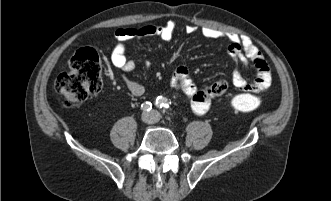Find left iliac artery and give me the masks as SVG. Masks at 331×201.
Listing matches in <instances>:
<instances>
[{
	"mask_svg": "<svg viewBox=\"0 0 331 201\" xmlns=\"http://www.w3.org/2000/svg\"><path fill=\"white\" fill-rule=\"evenodd\" d=\"M155 104L157 107L162 108L164 110L169 108L168 99L162 96L157 97Z\"/></svg>",
	"mask_w": 331,
	"mask_h": 201,
	"instance_id": "44dca946",
	"label": "left iliac artery"
}]
</instances>
